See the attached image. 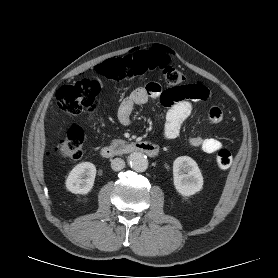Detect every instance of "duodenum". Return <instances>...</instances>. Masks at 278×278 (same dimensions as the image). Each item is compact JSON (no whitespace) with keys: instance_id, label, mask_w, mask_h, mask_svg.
Wrapping results in <instances>:
<instances>
[{"instance_id":"1","label":"duodenum","mask_w":278,"mask_h":278,"mask_svg":"<svg viewBox=\"0 0 278 278\" xmlns=\"http://www.w3.org/2000/svg\"><path fill=\"white\" fill-rule=\"evenodd\" d=\"M133 153H142L149 157H156L159 153V147L151 142H132L120 146H104L100 150V154L104 158Z\"/></svg>"}]
</instances>
